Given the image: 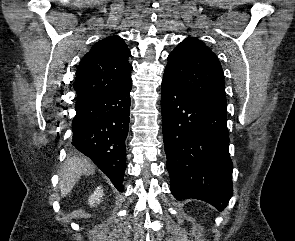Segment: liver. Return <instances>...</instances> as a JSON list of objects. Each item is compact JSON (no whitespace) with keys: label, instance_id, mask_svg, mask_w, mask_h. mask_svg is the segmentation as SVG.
<instances>
[{"label":"liver","instance_id":"liver-1","mask_svg":"<svg viewBox=\"0 0 295 241\" xmlns=\"http://www.w3.org/2000/svg\"><path fill=\"white\" fill-rule=\"evenodd\" d=\"M94 172L95 165L87 158L71 157L67 159L59 174L61 195L67 196L83 174L91 175Z\"/></svg>","mask_w":295,"mask_h":241}]
</instances>
